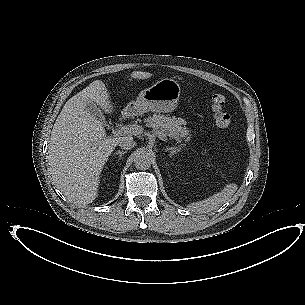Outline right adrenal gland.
Segmentation results:
<instances>
[{"mask_svg": "<svg viewBox=\"0 0 305 305\" xmlns=\"http://www.w3.org/2000/svg\"><path fill=\"white\" fill-rule=\"evenodd\" d=\"M125 153L126 152H124V151H117L114 155H119V159H118V161H119Z\"/></svg>", "mask_w": 305, "mask_h": 305, "instance_id": "right-adrenal-gland-1", "label": "right adrenal gland"}]
</instances>
